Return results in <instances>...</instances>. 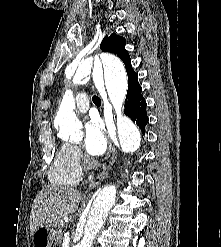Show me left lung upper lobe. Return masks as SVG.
<instances>
[{
    "mask_svg": "<svg viewBox=\"0 0 221 247\" xmlns=\"http://www.w3.org/2000/svg\"><path fill=\"white\" fill-rule=\"evenodd\" d=\"M125 41V38L117 36L113 33L109 37L105 36L100 44V48L103 52H110L121 58L125 64L129 81L132 77L137 76V74L134 72L131 65L130 56L125 50Z\"/></svg>",
    "mask_w": 221,
    "mask_h": 247,
    "instance_id": "left-lung-upper-lobe-1",
    "label": "left lung upper lobe"
}]
</instances>
